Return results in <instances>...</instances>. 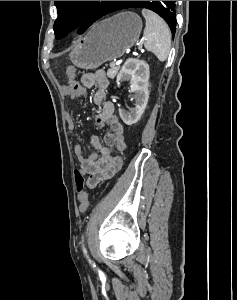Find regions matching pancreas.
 <instances>
[{"mask_svg": "<svg viewBox=\"0 0 237 300\" xmlns=\"http://www.w3.org/2000/svg\"><path fill=\"white\" fill-rule=\"evenodd\" d=\"M119 69H120V67H114L113 69L112 68L108 69L107 75H108L109 79H114V77H116Z\"/></svg>", "mask_w": 237, "mask_h": 300, "instance_id": "1", "label": "pancreas"}]
</instances>
